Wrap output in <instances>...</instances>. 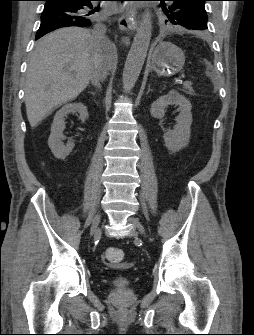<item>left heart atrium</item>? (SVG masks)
<instances>
[{
    "label": "left heart atrium",
    "instance_id": "obj_1",
    "mask_svg": "<svg viewBox=\"0 0 254 335\" xmlns=\"http://www.w3.org/2000/svg\"><path fill=\"white\" fill-rule=\"evenodd\" d=\"M127 10H128V11H131V10H132V8H127Z\"/></svg>",
    "mask_w": 254,
    "mask_h": 335
}]
</instances>
